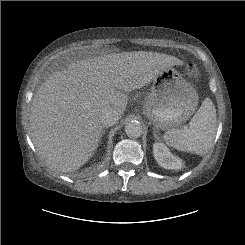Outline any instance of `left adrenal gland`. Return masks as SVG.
<instances>
[{"label": "left adrenal gland", "instance_id": "obj_1", "mask_svg": "<svg viewBox=\"0 0 245 245\" xmlns=\"http://www.w3.org/2000/svg\"><path fill=\"white\" fill-rule=\"evenodd\" d=\"M153 135H154V137H155L156 140H159V137L157 136V133H156L155 130L153 131Z\"/></svg>", "mask_w": 245, "mask_h": 245}]
</instances>
